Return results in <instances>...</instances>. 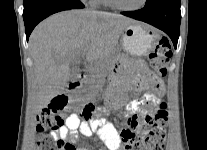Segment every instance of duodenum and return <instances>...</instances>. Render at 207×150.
<instances>
[{
	"instance_id": "1",
	"label": "duodenum",
	"mask_w": 207,
	"mask_h": 150,
	"mask_svg": "<svg viewBox=\"0 0 207 150\" xmlns=\"http://www.w3.org/2000/svg\"><path fill=\"white\" fill-rule=\"evenodd\" d=\"M82 79H83V76H81L79 79L71 82L69 85L70 90H76L77 88H79L82 83Z\"/></svg>"
}]
</instances>
